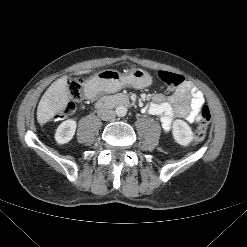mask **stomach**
<instances>
[{"label":"stomach","instance_id":"1","mask_svg":"<svg viewBox=\"0 0 247 247\" xmlns=\"http://www.w3.org/2000/svg\"><path fill=\"white\" fill-rule=\"evenodd\" d=\"M152 79L150 75L142 69H132L127 74H120L113 70H104L97 73L88 81V85L96 90L110 91L122 86H131L142 89L150 86Z\"/></svg>","mask_w":247,"mask_h":247}]
</instances>
